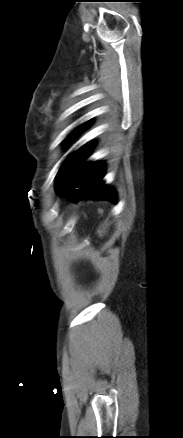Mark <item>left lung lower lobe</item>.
Wrapping results in <instances>:
<instances>
[{"label": "left lung lower lobe", "mask_w": 183, "mask_h": 438, "mask_svg": "<svg viewBox=\"0 0 183 438\" xmlns=\"http://www.w3.org/2000/svg\"><path fill=\"white\" fill-rule=\"evenodd\" d=\"M93 144L79 148L61 166L57 174V189L61 197L76 202L82 198L116 202L115 191L102 181L105 169L99 162L84 163Z\"/></svg>", "instance_id": "0a47b994"}]
</instances>
